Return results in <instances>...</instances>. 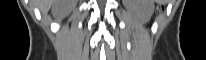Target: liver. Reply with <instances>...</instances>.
Listing matches in <instances>:
<instances>
[{"instance_id":"liver-1","label":"liver","mask_w":206,"mask_h":60,"mask_svg":"<svg viewBox=\"0 0 206 60\" xmlns=\"http://www.w3.org/2000/svg\"><path fill=\"white\" fill-rule=\"evenodd\" d=\"M77 0H39L38 6L42 13H46L53 7V15L58 19L64 18L76 5Z\"/></svg>"}]
</instances>
